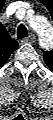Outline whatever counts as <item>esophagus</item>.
Listing matches in <instances>:
<instances>
[{
  "label": "esophagus",
  "mask_w": 53,
  "mask_h": 120,
  "mask_svg": "<svg viewBox=\"0 0 53 120\" xmlns=\"http://www.w3.org/2000/svg\"><path fill=\"white\" fill-rule=\"evenodd\" d=\"M35 41V36L34 35H30L27 38H24L21 42L22 43H33Z\"/></svg>",
  "instance_id": "esophagus-1"
}]
</instances>
